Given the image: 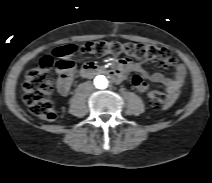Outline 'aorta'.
<instances>
[{
    "mask_svg": "<svg viewBox=\"0 0 212 183\" xmlns=\"http://www.w3.org/2000/svg\"><path fill=\"white\" fill-rule=\"evenodd\" d=\"M109 80L108 77L101 73L95 76L94 78V86L99 90H104L108 87Z\"/></svg>",
    "mask_w": 212,
    "mask_h": 183,
    "instance_id": "obj_1",
    "label": "aorta"
}]
</instances>
